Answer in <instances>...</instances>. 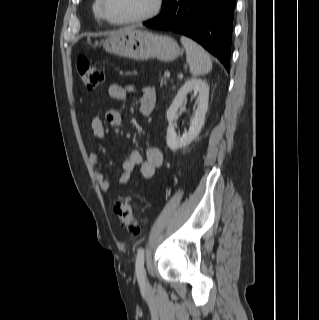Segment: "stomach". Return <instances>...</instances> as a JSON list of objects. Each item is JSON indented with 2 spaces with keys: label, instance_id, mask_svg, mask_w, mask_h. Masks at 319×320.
I'll return each instance as SVG.
<instances>
[{
  "label": "stomach",
  "instance_id": "stomach-1",
  "mask_svg": "<svg viewBox=\"0 0 319 320\" xmlns=\"http://www.w3.org/2000/svg\"><path fill=\"white\" fill-rule=\"evenodd\" d=\"M108 53L135 60L156 58L171 62L180 55L178 43L170 36L141 29L117 32L102 41Z\"/></svg>",
  "mask_w": 319,
  "mask_h": 320
}]
</instances>
